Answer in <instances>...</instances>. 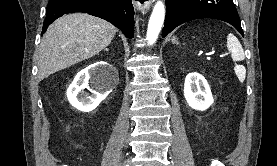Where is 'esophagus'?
Instances as JSON below:
<instances>
[{"label": "esophagus", "instance_id": "34e87169", "mask_svg": "<svg viewBox=\"0 0 277 166\" xmlns=\"http://www.w3.org/2000/svg\"><path fill=\"white\" fill-rule=\"evenodd\" d=\"M154 0H132L134 7L142 13H146L152 6Z\"/></svg>", "mask_w": 277, "mask_h": 166}]
</instances>
